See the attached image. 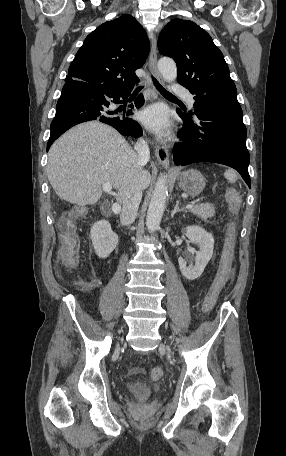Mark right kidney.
<instances>
[{"instance_id": "right-kidney-1", "label": "right kidney", "mask_w": 286, "mask_h": 456, "mask_svg": "<svg viewBox=\"0 0 286 456\" xmlns=\"http://www.w3.org/2000/svg\"><path fill=\"white\" fill-rule=\"evenodd\" d=\"M90 238L99 258H106L118 244V236L111 229V225L106 220L94 223L90 230Z\"/></svg>"}]
</instances>
